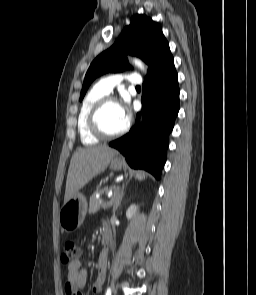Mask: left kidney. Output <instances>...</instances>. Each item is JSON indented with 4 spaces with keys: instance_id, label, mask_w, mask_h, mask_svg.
<instances>
[{
    "instance_id": "left-kidney-1",
    "label": "left kidney",
    "mask_w": 256,
    "mask_h": 295,
    "mask_svg": "<svg viewBox=\"0 0 256 295\" xmlns=\"http://www.w3.org/2000/svg\"><path fill=\"white\" fill-rule=\"evenodd\" d=\"M137 206L135 204L130 205V207L126 211V217L128 220L132 219L136 212H137Z\"/></svg>"
}]
</instances>
